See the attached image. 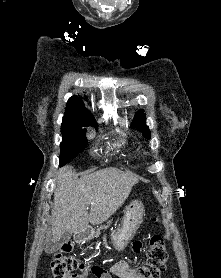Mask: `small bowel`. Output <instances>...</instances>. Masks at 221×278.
Here are the masks:
<instances>
[{"label":"small bowel","instance_id":"1","mask_svg":"<svg viewBox=\"0 0 221 278\" xmlns=\"http://www.w3.org/2000/svg\"><path fill=\"white\" fill-rule=\"evenodd\" d=\"M142 243L139 240L133 242V250L139 252L141 249ZM136 269H134L127 261H119L114 264L110 270H104L100 268V271L96 278H112L116 276L118 278H135ZM86 275H73L69 278H85Z\"/></svg>","mask_w":221,"mask_h":278}]
</instances>
